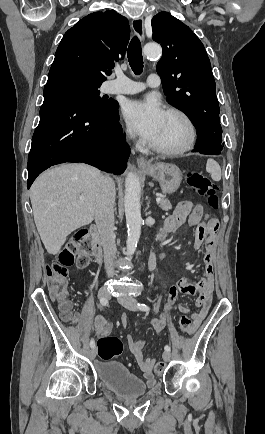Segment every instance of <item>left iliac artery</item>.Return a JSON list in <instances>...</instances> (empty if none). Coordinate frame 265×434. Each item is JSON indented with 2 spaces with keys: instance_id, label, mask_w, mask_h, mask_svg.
Wrapping results in <instances>:
<instances>
[{
  "instance_id": "44dca946",
  "label": "left iliac artery",
  "mask_w": 265,
  "mask_h": 434,
  "mask_svg": "<svg viewBox=\"0 0 265 434\" xmlns=\"http://www.w3.org/2000/svg\"><path fill=\"white\" fill-rule=\"evenodd\" d=\"M137 306L142 311H148L149 310V307L146 304H144V303H138ZM164 349H165V351H170L171 347L169 345H166L164 347Z\"/></svg>"
}]
</instances>
